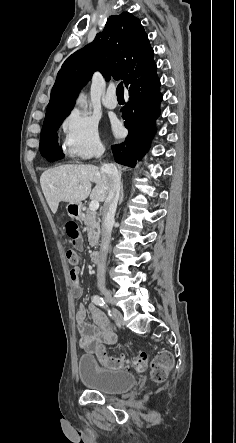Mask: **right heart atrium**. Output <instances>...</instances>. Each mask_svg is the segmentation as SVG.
<instances>
[{
    "label": "right heart atrium",
    "mask_w": 236,
    "mask_h": 443,
    "mask_svg": "<svg viewBox=\"0 0 236 443\" xmlns=\"http://www.w3.org/2000/svg\"><path fill=\"white\" fill-rule=\"evenodd\" d=\"M65 154L75 160H89L103 151L98 123L79 109L71 110L62 122Z\"/></svg>",
    "instance_id": "obj_1"
}]
</instances>
